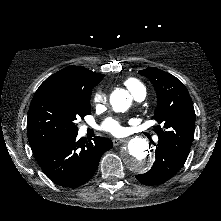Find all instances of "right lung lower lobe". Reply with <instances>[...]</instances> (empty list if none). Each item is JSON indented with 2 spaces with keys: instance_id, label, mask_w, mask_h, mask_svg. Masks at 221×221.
I'll list each match as a JSON object with an SVG mask.
<instances>
[{
  "instance_id": "1",
  "label": "right lung lower lobe",
  "mask_w": 221,
  "mask_h": 221,
  "mask_svg": "<svg viewBox=\"0 0 221 221\" xmlns=\"http://www.w3.org/2000/svg\"><path fill=\"white\" fill-rule=\"evenodd\" d=\"M77 133L62 135L31 145L44 173L56 184L78 187L91 179L102 154L113 147L110 139H77Z\"/></svg>"
}]
</instances>
